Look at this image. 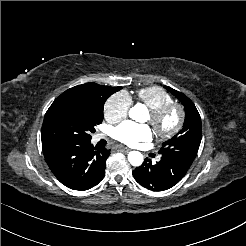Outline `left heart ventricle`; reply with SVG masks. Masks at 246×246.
<instances>
[{"mask_svg":"<svg viewBox=\"0 0 246 246\" xmlns=\"http://www.w3.org/2000/svg\"><path fill=\"white\" fill-rule=\"evenodd\" d=\"M150 120V117L148 118ZM176 120V113H171L163 122L164 127H170Z\"/></svg>","mask_w":246,"mask_h":246,"instance_id":"1","label":"left heart ventricle"}]
</instances>
